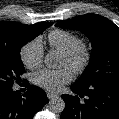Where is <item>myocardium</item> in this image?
Segmentation results:
<instances>
[{"label":"myocardium","instance_id":"myocardium-1","mask_svg":"<svg viewBox=\"0 0 119 119\" xmlns=\"http://www.w3.org/2000/svg\"><path fill=\"white\" fill-rule=\"evenodd\" d=\"M62 54L70 62V69L75 74L84 72L91 61V48L81 40Z\"/></svg>","mask_w":119,"mask_h":119}]
</instances>
